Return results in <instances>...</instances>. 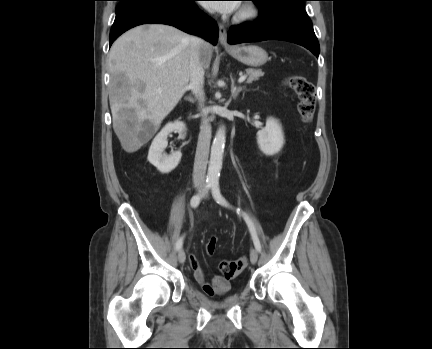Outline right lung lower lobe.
I'll return each mask as SVG.
<instances>
[{
	"instance_id": "obj_1",
	"label": "right lung lower lobe",
	"mask_w": 432,
	"mask_h": 349,
	"mask_svg": "<svg viewBox=\"0 0 432 349\" xmlns=\"http://www.w3.org/2000/svg\"><path fill=\"white\" fill-rule=\"evenodd\" d=\"M196 0H120L110 32V46L125 31L141 24H167L218 41V26L195 4Z\"/></svg>"
}]
</instances>
